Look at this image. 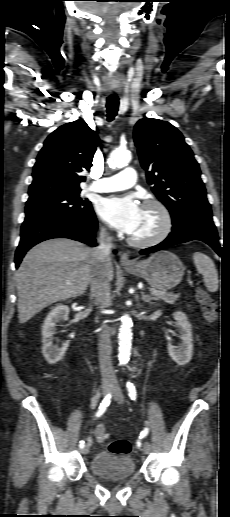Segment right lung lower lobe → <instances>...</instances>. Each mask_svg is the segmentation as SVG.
I'll use <instances>...</instances> for the list:
<instances>
[{"label": "right lung lower lobe", "mask_w": 230, "mask_h": 517, "mask_svg": "<svg viewBox=\"0 0 230 517\" xmlns=\"http://www.w3.org/2000/svg\"><path fill=\"white\" fill-rule=\"evenodd\" d=\"M95 213L66 215L62 213H41L26 216L21 227V240L15 254L16 267L25 253L34 245L52 238H70L96 246L97 229Z\"/></svg>", "instance_id": "1"}]
</instances>
